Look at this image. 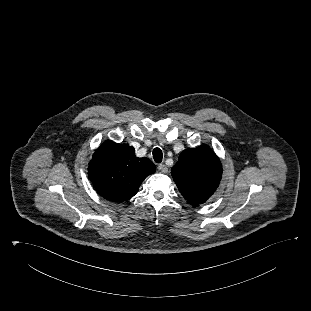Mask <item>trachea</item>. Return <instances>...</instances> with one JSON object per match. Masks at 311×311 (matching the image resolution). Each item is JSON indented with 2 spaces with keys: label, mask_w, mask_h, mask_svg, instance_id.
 Masks as SVG:
<instances>
[{
  "label": "trachea",
  "mask_w": 311,
  "mask_h": 311,
  "mask_svg": "<svg viewBox=\"0 0 311 311\" xmlns=\"http://www.w3.org/2000/svg\"><path fill=\"white\" fill-rule=\"evenodd\" d=\"M153 158L156 163H160L163 159V153L160 148H155L153 150Z\"/></svg>",
  "instance_id": "1"
}]
</instances>
